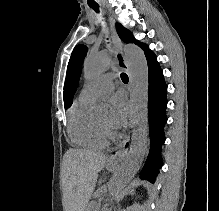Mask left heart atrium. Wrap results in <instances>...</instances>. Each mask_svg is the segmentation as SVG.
Here are the masks:
<instances>
[{
    "instance_id": "left-heart-atrium-1",
    "label": "left heart atrium",
    "mask_w": 219,
    "mask_h": 211,
    "mask_svg": "<svg viewBox=\"0 0 219 211\" xmlns=\"http://www.w3.org/2000/svg\"><path fill=\"white\" fill-rule=\"evenodd\" d=\"M128 117V105L121 95H114L109 99V121L114 129H121Z\"/></svg>"
}]
</instances>
